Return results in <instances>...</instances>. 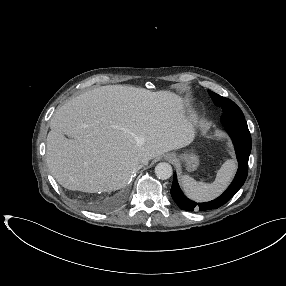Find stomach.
<instances>
[{
    "mask_svg": "<svg viewBox=\"0 0 286 286\" xmlns=\"http://www.w3.org/2000/svg\"><path fill=\"white\" fill-rule=\"evenodd\" d=\"M180 159L185 162L188 171L196 170L199 165V157L192 151L182 153Z\"/></svg>",
    "mask_w": 286,
    "mask_h": 286,
    "instance_id": "stomach-1",
    "label": "stomach"
}]
</instances>
